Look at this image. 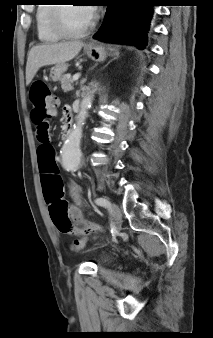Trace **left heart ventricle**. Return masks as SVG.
Returning a JSON list of instances; mask_svg holds the SVG:
<instances>
[{
  "mask_svg": "<svg viewBox=\"0 0 213 338\" xmlns=\"http://www.w3.org/2000/svg\"><path fill=\"white\" fill-rule=\"evenodd\" d=\"M61 15L64 27L71 32H79L91 23V19L81 6H67L63 8Z\"/></svg>",
  "mask_w": 213,
  "mask_h": 338,
  "instance_id": "obj_1",
  "label": "left heart ventricle"
}]
</instances>
